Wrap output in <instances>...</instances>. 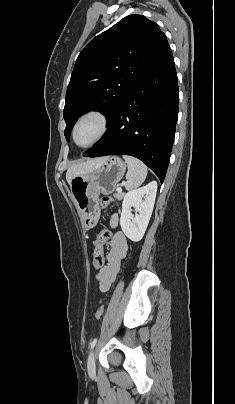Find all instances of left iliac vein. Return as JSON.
<instances>
[{
    "mask_svg": "<svg viewBox=\"0 0 235 404\" xmlns=\"http://www.w3.org/2000/svg\"><path fill=\"white\" fill-rule=\"evenodd\" d=\"M88 371L89 373H94L95 372V358H94V353H91L89 358H88Z\"/></svg>",
    "mask_w": 235,
    "mask_h": 404,
    "instance_id": "left-iliac-vein-1",
    "label": "left iliac vein"
}]
</instances>
